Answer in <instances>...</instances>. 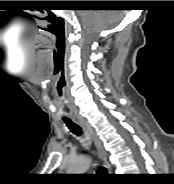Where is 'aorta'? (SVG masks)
I'll return each mask as SVG.
<instances>
[{
	"label": "aorta",
	"mask_w": 174,
	"mask_h": 184,
	"mask_svg": "<svg viewBox=\"0 0 174 184\" xmlns=\"http://www.w3.org/2000/svg\"><path fill=\"white\" fill-rule=\"evenodd\" d=\"M89 165L90 161L87 157H78L70 163L67 172L70 174H83L87 171Z\"/></svg>",
	"instance_id": "1"
}]
</instances>
